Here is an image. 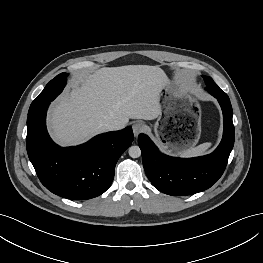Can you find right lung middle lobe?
I'll return each mask as SVG.
<instances>
[{
  "instance_id": "right-lung-middle-lobe-1",
  "label": "right lung middle lobe",
  "mask_w": 263,
  "mask_h": 263,
  "mask_svg": "<svg viewBox=\"0 0 263 263\" xmlns=\"http://www.w3.org/2000/svg\"><path fill=\"white\" fill-rule=\"evenodd\" d=\"M67 76L68 74L61 73L52 79L39 96L32 102L28 113L33 112L54 100L66 85Z\"/></svg>"
}]
</instances>
